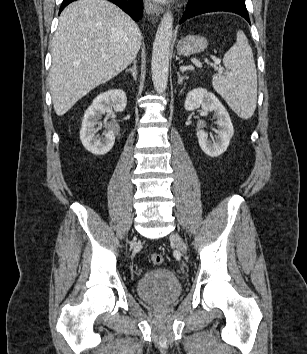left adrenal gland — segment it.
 I'll return each instance as SVG.
<instances>
[{
    "mask_svg": "<svg viewBox=\"0 0 307 354\" xmlns=\"http://www.w3.org/2000/svg\"><path fill=\"white\" fill-rule=\"evenodd\" d=\"M177 76H178V84L182 85L183 81L188 79V77L186 76H181L179 72H177Z\"/></svg>",
    "mask_w": 307,
    "mask_h": 354,
    "instance_id": "left-adrenal-gland-1",
    "label": "left adrenal gland"
}]
</instances>
